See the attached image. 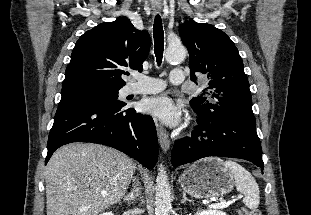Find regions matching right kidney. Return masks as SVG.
<instances>
[{
	"label": "right kidney",
	"instance_id": "1",
	"mask_svg": "<svg viewBox=\"0 0 311 215\" xmlns=\"http://www.w3.org/2000/svg\"><path fill=\"white\" fill-rule=\"evenodd\" d=\"M101 215H113V213L112 212H105V213H103Z\"/></svg>",
	"mask_w": 311,
	"mask_h": 215
}]
</instances>
